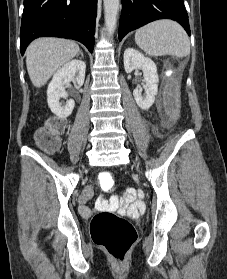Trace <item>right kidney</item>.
I'll use <instances>...</instances> for the list:
<instances>
[{"mask_svg": "<svg viewBox=\"0 0 227 279\" xmlns=\"http://www.w3.org/2000/svg\"><path fill=\"white\" fill-rule=\"evenodd\" d=\"M86 64L81 60H72L58 69L53 75L52 81L47 89V102L51 111L59 118H66L71 115L75 102L67 100L65 104L59 102L60 98H67L65 85L70 81L81 86L85 79Z\"/></svg>", "mask_w": 227, "mask_h": 279, "instance_id": "1", "label": "right kidney"}]
</instances>
